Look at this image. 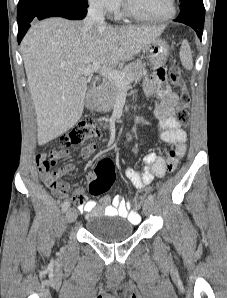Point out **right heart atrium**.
Masks as SVG:
<instances>
[{
    "mask_svg": "<svg viewBox=\"0 0 227 298\" xmlns=\"http://www.w3.org/2000/svg\"><path fill=\"white\" fill-rule=\"evenodd\" d=\"M91 6L104 13H115L120 7L119 0H88Z\"/></svg>",
    "mask_w": 227,
    "mask_h": 298,
    "instance_id": "d8ad5b80",
    "label": "right heart atrium"
}]
</instances>
